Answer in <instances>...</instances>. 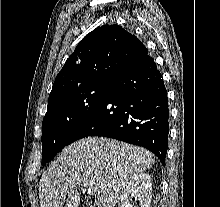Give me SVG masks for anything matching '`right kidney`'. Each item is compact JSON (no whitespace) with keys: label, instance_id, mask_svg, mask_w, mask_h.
<instances>
[{"label":"right kidney","instance_id":"1","mask_svg":"<svg viewBox=\"0 0 220 207\" xmlns=\"http://www.w3.org/2000/svg\"><path fill=\"white\" fill-rule=\"evenodd\" d=\"M138 201L139 207H150L152 198L151 176L140 173L133 177L124 189L118 207H132V198Z\"/></svg>","mask_w":220,"mask_h":207}]
</instances>
